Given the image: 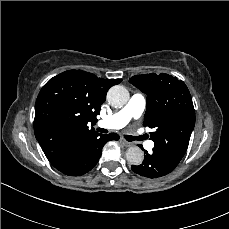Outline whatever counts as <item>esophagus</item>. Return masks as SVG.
Returning <instances> with one entry per match:
<instances>
[{"label": "esophagus", "mask_w": 229, "mask_h": 229, "mask_svg": "<svg viewBox=\"0 0 229 229\" xmlns=\"http://www.w3.org/2000/svg\"><path fill=\"white\" fill-rule=\"evenodd\" d=\"M121 144H123L125 147H130L132 144L125 140L124 138H120Z\"/></svg>", "instance_id": "34e87169"}]
</instances>
